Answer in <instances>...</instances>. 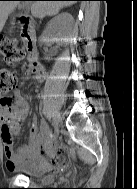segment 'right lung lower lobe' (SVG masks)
<instances>
[{
    "instance_id": "obj_1",
    "label": "right lung lower lobe",
    "mask_w": 137,
    "mask_h": 189,
    "mask_svg": "<svg viewBox=\"0 0 137 189\" xmlns=\"http://www.w3.org/2000/svg\"><path fill=\"white\" fill-rule=\"evenodd\" d=\"M72 1H82V0H72Z\"/></svg>"
}]
</instances>
